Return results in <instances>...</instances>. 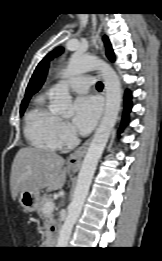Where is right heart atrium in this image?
I'll use <instances>...</instances> for the list:
<instances>
[{
	"mask_svg": "<svg viewBox=\"0 0 162 261\" xmlns=\"http://www.w3.org/2000/svg\"><path fill=\"white\" fill-rule=\"evenodd\" d=\"M55 138L58 147H65L76 140V135L68 122L58 119L55 125Z\"/></svg>",
	"mask_w": 162,
	"mask_h": 261,
	"instance_id": "obj_1",
	"label": "right heart atrium"
}]
</instances>
